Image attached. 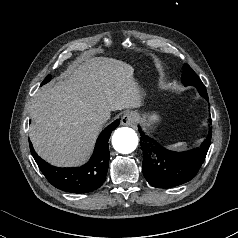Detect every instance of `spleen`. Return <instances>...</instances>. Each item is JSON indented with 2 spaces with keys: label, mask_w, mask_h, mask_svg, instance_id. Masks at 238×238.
I'll use <instances>...</instances> for the list:
<instances>
[{
  "label": "spleen",
  "mask_w": 238,
  "mask_h": 238,
  "mask_svg": "<svg viewBox=\"0 0 238 238\" xmlns=\"http://www.w3.org/2000/svg\"><path fill=\"white\" fill-rule=\"evenodd\" d=\"M185 145H186V144H185L184 142H179V143L170 145L169 147H170V148H173V149H180V148L185 147Z\"/></svg>",
  "instance_id": "obj_1"
}]
</instances>
